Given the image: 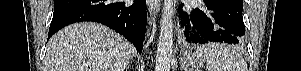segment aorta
Returning a JSON list of instances; mask_svg holds the SVG:
<instances>
[{"label":"aorta","instance_id":"762f6f07","mask_svg":"<svg viewBox=\"0 0 301 71\" xmlns=\"http://www.w3.org/2000/svg\"><path fill=\"white\" fill-rule=\"evenodd\" d=\"M173 14L174 1L164 0L157 44L155 71H170L173 51Z\"/></svg>","mask_w":301,"mask_h":71}]
</instances>
